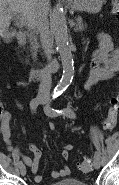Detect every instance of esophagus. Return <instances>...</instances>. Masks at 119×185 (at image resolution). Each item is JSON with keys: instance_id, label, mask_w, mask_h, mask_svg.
<instances>
[{"instance_id": "obj_1", "label": "esophagus", "mask_w": 119, "mask_h": 185, "mask_svg": "<svg viewBox=\"0 0 119 185\" xmlns=\"http://www.w3.org/2000/svg\"><path fill=\"white\" fill-rule=\"evenodd\" d=\"M64 1L69 2V1H71V0H64Z\"/></svg>"}]
</instances>
